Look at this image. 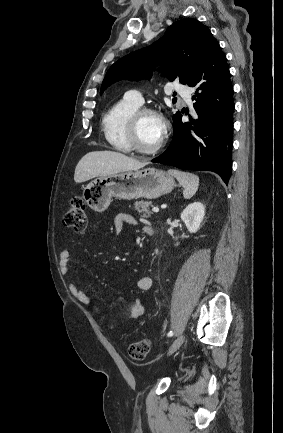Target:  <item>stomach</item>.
Returning a JSON list of instances; mask_svg holds the SVG:
<instances>
[{
	"mask_svg": "<svg viewBox=\"0 0 283 433\" xmlns=\"http://www.w3.org/2000/svg\"><path fill=\"white\" fill-rule=\"evenodd\" d=\"M175 186L173 176L158 168L125 170L104 174L91 180L83 190V198L93 210H106L112 196L116 198H158L171 192Z\"/></svg>",
	"mask_w": 283,
	"mask_h": 433,
	"instance_id": "0dacf381",
	"label": "stomach"
}]
</instances>
